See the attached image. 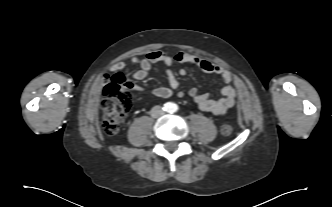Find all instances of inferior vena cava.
<instances>
[{
  "mask_svg": "<svg viewBox=\"0 0 332 207\" xmlns=\"http://www.w3.org/2000/svg\"><path fill=\"white\" fill-rule=\"evenodd\" d=\"M150 113L153 118H157L162 116L164 114V111L162 110L161 106L157 105L152 108Z\"/></svg>",
  "mask_w": 332,
  "mask_h": 207,
  "instance_id": "inferior-vena-cava-1",
  "label": "inferior vena cava"
}]
</instances>
